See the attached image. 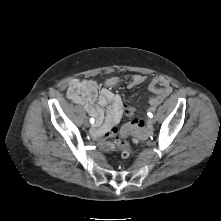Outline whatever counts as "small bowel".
Listing matches in <instances>:
<instances>
[{"instance_id": "small-bowel-1", "label": "small bowel", "mask_w": 221, "mask_h": 221, "mask_svg": "<svg viewBox=\"0 0 221 221\" xmlns=\"http://www.w3.org/2000/svg\"><path fill=\"white\" fill-rule=\"evenodd\" d=\"M121 78L112 76L106 79L105 87L99 89L93 79H74L67 89L68 98L82 105L87 113L96 121L92 133L96 137L114 138L120 130L117 129L121 118L132 116L135 110L123 103L120 96L111 91L119 85ZM146 81V76L134 74L130 76L129 86L139 85ZM149 90L154 94L149 102L152 108L159 105L172 91L170 81L162 76H156L149 82ZM139 121V120H135Z\"/></svg>"}]
</instances>
